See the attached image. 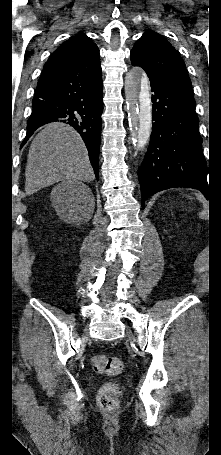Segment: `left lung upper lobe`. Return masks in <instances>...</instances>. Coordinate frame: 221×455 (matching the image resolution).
Masks as SVG:
<instances>
[{"label": "left lung upper lobe", "instance_id": "left-lung-upper-lobe-1", "mask_svg": "<svg viewBox=\"0 0 221 455\" xmlns=\"http://www.w3.org/2000/svg\"><path fill=\"white\" fill-rule=\"evenodd\" d=\"M131 62L134 66L142 67L150 80L194 101L184 61L160 34L146 30L131 51Z\"/></svg>", "mask_w": 221, "mask_h": 455}]
</instances>
